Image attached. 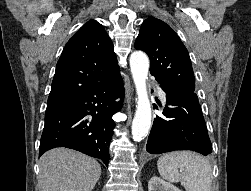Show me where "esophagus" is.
Returning a JSON list of instances; mask_svg holds the SVG:
<instances>
[{"label":"esophagus","instance_id":"obj_1","mask_svg":"<svg viewBox=\"0 0 251 191\" xmlns=\"http://www.w3.org/2000/svg\"><path fill=\"white\" fill-rule=\"evenodd\" d=\"M127 101H128V102H130V101H131V98H130V99H128Z\"/></svg>","mask_w":251,"mask_h":191}]
</instances>
